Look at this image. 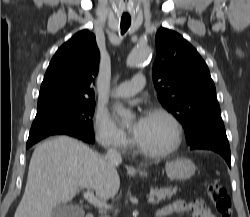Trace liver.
I'll return each instance as SVG.
<instances>
[{
	"label": "liver",
	"mask_w": 250,
	"mask_h": 217,
	"mask_svg": "<svg viewBox=\"0 0 250 217\" xmlns=\"http://www.w3.org/2000/svg\"><path fill=\"white\" fill-rule=\"evenodd\" d=\"M120 187L115 166L76 139L60 136L34 150L24 195L14 217H51L54 207L73 199L82 188L99 200L114 197Z\"/></svg>",
	"instance_id": "obj_1"
}]
</instances>
